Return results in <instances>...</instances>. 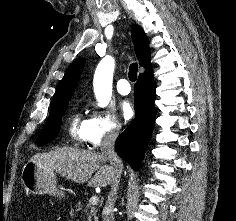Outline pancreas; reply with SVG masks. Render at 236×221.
<instances>
[{"label": "pancreas", "mask_w": 236, "mask_h": 221, "mask_svg": "<svg viewBox=\"0 0 236 221\" xmlns=\"http://www.w3.org/2000/svg\"><path fill=\"white\" fill-rule=\"evenodd\" d=\"M97 211V207L90 204L83 206L81 202H78L71 208V214H77L78 212L80 213L78 221H86V219L87 221H98Z\"/></svg>", "instance_id": "cf45deb5"}]
</instances>
